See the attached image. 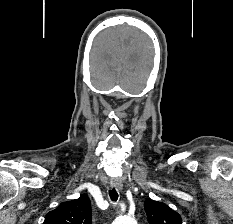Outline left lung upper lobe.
I'll return each mask as SVG.
<instances>
[{
	"label": "left lung upper lobe",
	"instance_id": "obj_1",
	"mask_svg": "<svg viewBox=\"0 0 233 224\" xmlns=\"http://www.w3.org/2000/svg\"><path fill=\"white\" fill-rule=\"evenodd\" d=\"M144 207L150 224H182L181 216L164 203L147 199Z\"/></svg>",
	"mask_w": 233,
	"mask_h": 224
}]
</instances>
